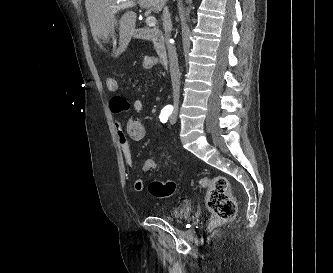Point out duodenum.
<instances>
[{"label":"duodenum","instance_id":"1","mask_svg":"<svg viewBox=\"0 0 333 273\" xmlns=\"http://www.w3.org/2000/svg\"><path fill=\"white\" fill-rule=\"evenodd\" d=\"M136 35L139 39L153 42L162 66L168 64V44L161 29H137Z\"/></svg>","mask_w":333,"mask_h":273}]
</instances>
